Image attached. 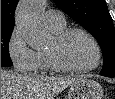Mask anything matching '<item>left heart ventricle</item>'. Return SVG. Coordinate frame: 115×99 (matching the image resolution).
Segmentation results:
<instances>
[{
    "label": "left heart ventricle",
    "mask_w": 115,
    "mask_h": 99,
    "mask_svg": "<svg viewBox=\"0 0 115 99\" xmlns=\"http://www.w3.org/2000/svg\"><path fill=\"white\" fill-rule=\"evenodd\" d=\"M53 46L54 40L50 42L48 49ZM56 53L63 64L72 67H86L95 60V51L92 43L80 33H74L67 37L56 48Z\"/></svg>",
    "instance_id": "obj_1"
}]
</instances>
